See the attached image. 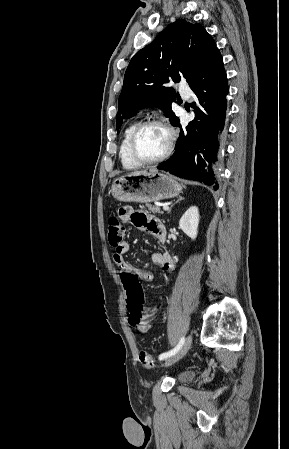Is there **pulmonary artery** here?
Here are the masks:
<instances>
[{
    "instance_id": "1",
    "label": "pulmonary artery",
    "mask_w": 289,
    "mask_h": 449,
    "mask_svg": "<svg viewBox=\"0 0 289 449\" xmlns=\"http://www.w3.org/2000/svg\"><path fill=\"white\" fill-rule=\"evenodd\" d=\"M182 93H183V95H184L185 97H187V98L191 96V92H190L189 89H184V90H182Z\"/></svg>"
}]
</instances>
